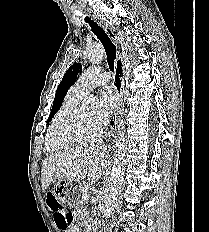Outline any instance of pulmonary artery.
I'll list each match as a JSON object with an SVG mask.
<instances>
[{"label":"pulmonary artery","mask_w":209,"mask_h":232,"mask_svg":"<svg viewBox=\"0 0 209 232\" xmlns=\"http://www.w3.org/2000/svg\"><path fill=\"white\" fill-rule=\"evenodd\" d=\"M110 79L108 72H101L100 67L92 66L85 70L77 82L69 90V94L75 99L82 98L93 88L106 84Z\"/></svg>","instance_id":"pulmonary-artery-1"}]
</instances>
